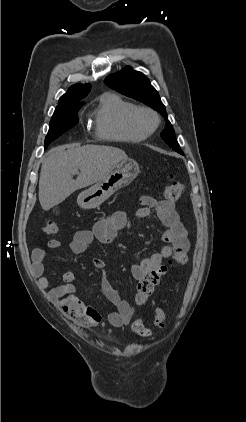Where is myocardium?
<instances>
[{"mask_svg": "<svg viewBox=\"0 0 246 422\" xmlns=\"http://www.w3.org/2000/svg\"><path fill=\"white\" fill-rule=\"evenodd\" d=\"M133 120L136 127L147 135L154 133L161 122L158 113L148 107H139L134 114Z\"/></svg>", "mask_w": 246, "mask_h": 422, "instance_id": "f54148a6", "label": "myocardium"}]
</instances>
